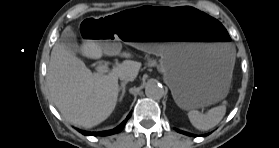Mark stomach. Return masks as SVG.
<instances>
[{
    "instance_id": "stomach-1",
    "label": "stomach",
    "mask_w": 279,
    "mask_h": 148,
    "mask_svg": "<svg viewBox=\"0 0 279 148\" xmlns=\"http://www.w3.org/2000/svg\"><path fill=\"white\" fill-rule=\"evenodd\" d=\"M79 36L95 49L120 50L126 43L160 56L164 81L184 110L209 106L228 93L235 45L223 25L196 8L145 6L91 15Z\"/></svg>"
}]
</instances>
